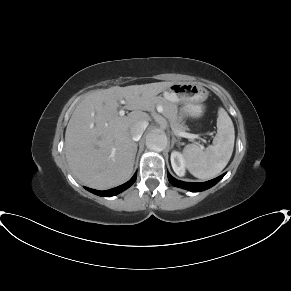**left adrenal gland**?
<instances>
[{
	"label": "left adrenal gland",
	"mask_w": 291,
	"mask_h": 291,
	"mask_svg": "<svg viewBox=\"0 0 291 291\" xmlns=\"http://www.w3.org/2000/svg\"><path fill=\"white\" fill-rule=\"evenodd\" d=\"M177 143L179 145V141L174 137L172 136V146Z\"/></svg>",
	"instance_id": "left-adrenal-gland-1"
}]
</instances>
